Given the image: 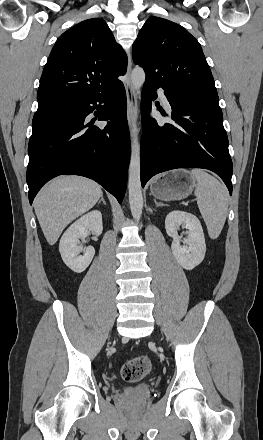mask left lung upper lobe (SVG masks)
I'll return each instance as SVG.
<instances>
[{"mask_svg":"<svg viewBox=\"0 0 263 440\" xmlns=\"http://www.w3.org/2000/svg\"><path fill=\"white\" fill-rule=\"evenodd\" d=\"M146 81L169 86L192 99L219 101L210 67L198 41L182 26L152 16L132 46Z\"/></svg>","mask_w":263,"mask_h":440,"instance_id":"5c2ea615","label":"left lung upper lobe"}]
</instances>
